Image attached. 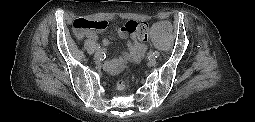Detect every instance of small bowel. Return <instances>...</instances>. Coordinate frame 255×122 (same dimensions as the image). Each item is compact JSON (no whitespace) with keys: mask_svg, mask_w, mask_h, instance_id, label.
I'll return each mask as SVG.
<instances>
[{"mask_svg":"<svg viewBox=\"0 0 255 122\" xmlns=\"http://www.w3.org/2000/svg\"><path fill=\"white\" fill-rule=\"evenodd\" d=\"M118 35L122 39L130 35V39L127 44V51L122 52L118 58L106 62L105 68L113 73L121 71L125 67L127 61L139 62L147 49L145 44L147 37L144 40H140L135 32H128L124 26L119 29ZM82 38L96 40L98 38V32L89 31ZM103 45L108 46L109 40L104 39Z\"/></svg>","mask_w":255,"mask_h":122,"instance_id":"c3829d8e","label":"small bowel"}]
</instances>
